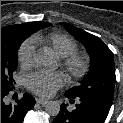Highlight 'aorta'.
I'll return each mask as SVG.
<instances>
[{
	"label": "aorta",
	"instance_id": "obj_1",
	"mask_svg": "<svg viewBox=\"0 0 123 123\" xmlns=\"http://www.w3.org/2000/svg\"><path fill=\"white\" fill-rule=\"evenodd\" d=\"M34 61L43 67H49L54 64L53 57L43 51L35 54ZM45 111L51 116H57L60 111V104L57 101H48L45 105Z\"/></svg>",
	"mask_w": 123,
	"mask_h": 123
}]
</instances>
